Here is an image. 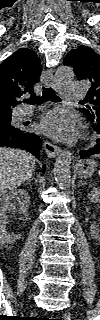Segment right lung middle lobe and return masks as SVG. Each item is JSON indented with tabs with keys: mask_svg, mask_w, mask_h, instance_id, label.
<instances>
[{
	"mask_svg": "<svg viewBox=\"0 0 100 320\" xmlns=\"http://www.w3.org/2000/svg\"><path fill=\"white\" fill-rule=\"evenodd\" d=\"M11 118L0 120V132L4 129L8 130H18L17 128L11 126Z\"/></svg>",
	"mask_w": 100,
	"mask_h": 320,
	"instance_id": "dd1d6c3e",
	"label": "right lung middle lobe"
}]
</instances>
